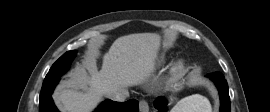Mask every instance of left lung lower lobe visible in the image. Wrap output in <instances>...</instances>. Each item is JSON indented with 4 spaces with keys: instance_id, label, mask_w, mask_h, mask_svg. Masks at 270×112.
Returning a JSON list of instances; mask_svg holds the SVG:
<instances>
[{
    "instance_id": "1",
    "label": "left lung lower lobe",
    "mask_w": 270,
    "mask_h": 112,
    "mask_svg": "<svg viewBox=\"0 0 270 112\" xmlns=\"http://www.w3.org/2000/svg\"><path fill=\"white\" fill-rule=\"evenodd\" d=\"M218 88L219 95H220V112H231L230 109V97L228 92V84L225 80L224 76L220 72H214L207 75ZM166 105L167 102L163 97H158L154 101V106L159 112H166Z\"/></svg>"
}]
</instances>
